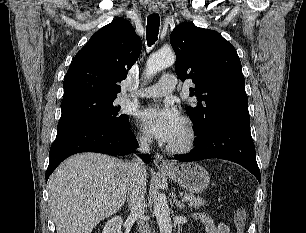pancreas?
Listing matches in <instances>:
<instances>
[{
  "label": "pancreas",
  "instance_id": "pancreas-1",
  "mask_svg": "<svg viewBox=\"0 0 306 233\" xmlns=\"http://www.w3.org/2000/svg\"><path fill=\"white\" fill-rule=\"evenodd\" d=\"M185 197L188 198V205L196 209L204 206V204L206 203L203 198L194 196L192 194H185Z\"/></svg>",
  "mask_w": 306,
  "mask_h": 233
}]
</instances>
